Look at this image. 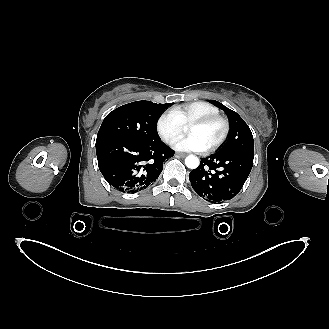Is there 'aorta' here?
<instances>
[{"label":"aorta","mask_w":329,"mask_h":329,"mask_svg":"<svg viewBox=\"0 0 329 329\" xmlns=\"http://www.w3.org/2000/svg\"><path fill=\"white\" fill-rule=\"evenodd\" d=\"M200 164L199 158L195 155H188L185 158V165L190 169H196Z\"/></svg>","instance_id":"762f6f07"}]
</instances>
